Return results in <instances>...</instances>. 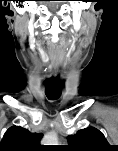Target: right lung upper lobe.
I'll return each instance as SVG.
<instances>
[{
  "instance_id": "cb5924a9",
  "label": "right lung upper lobe",
  "mask_w": 118,
  "mask_h": 151,
  "mask_svg": "<svg viewBox=\"0 0 118 151\" xmlns=\"http://www.w3.org/2000/svg\"><path fill=\"white\" fill-rule=\"evenodd\" d=\"M41 133H31L20 126L9 128L0 143V151H34L40 148Z\"/></svg>"
}]
</instances>
